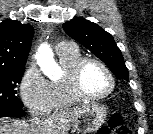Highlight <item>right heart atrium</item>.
<instances>
[{
  "instance_id": "obj_1",
  "label": "right heart atrium",
  "mask_w": 153,
  "mask_h": 134,
  "mask_svg": "<svg viewBox=\"0 0 153 134\" xmlns=\"http://www.w3.org/2000/svg\"><path fill=\"white\" fill-rule=\"evenodd\" d=\"M20 96L34 116L45 115L51 110L50 82L35 64L29 65L21 78Z\"/></svg>"
}]
</instances>
